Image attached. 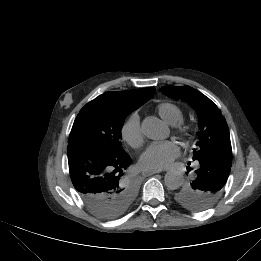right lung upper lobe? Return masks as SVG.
Instances as JSON below:
<instances>
[{"mask_svg": "<svg viewBox=\"0 0 261 261\" xmlns=\"http://www.w3.org/2000/svg\"><path fill=\"white\" fill-rule=\"evenodd\" d=\"M155 88L149 87L138 90H127L121 92H107L101 96V98L116 103L119 105H126L131 107H140L147 102L154 94Z\"/></svg>", "mask_w": 261, "mask_h": 261, "instance_id": "1", "label": "right lung upper lobe"}]
</instances>
